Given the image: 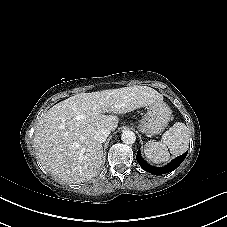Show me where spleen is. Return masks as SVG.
<instances>
[{
    "instance_id": "1",
    "label": "spleen",
    "mask_w": 227,
    "mask_h": 227,
    "mask_svg": "<svg viewBox=\"0 0 227 227\" xmlns=\"http://www.w3.org/2000/svg\"><path fill=\"white\" fill-rule=\"evenodd\" d=\"M189 129L182 122H176L162 135L161 141H148L144 146L146 158L153 163L168 161L170 153L180 155L189 147Z\"/></svg>"
}]
</instances>
